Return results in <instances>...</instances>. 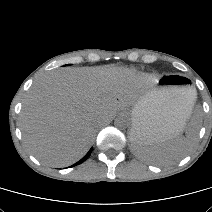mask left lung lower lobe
Wrapping results in <instances>:
<instances>
[{
  "label": "left lung lower lobe",
  "mask_w": 212,
  "mask_h": 212,
  "mask_svg": "<svg viewBox=\"0 0 212 212\" xmlns=\"http://www.w3.org/2000/svg\"><path fill=\"white\" fill-rule=\"evenodd\" d=\"M135 134H137V133H135ZM135 134H134V136H135V138H136V135H135ZM134 142H135V144H137L136 141H134Z\"/></svg>",
  "instance_id": "left-lung-lower-lobe-1"
}]
</instances>
